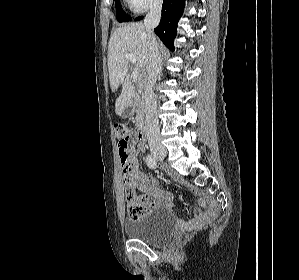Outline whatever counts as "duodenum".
Returning <instances> with one entry per match:
<instances>
[{
  "label": "duodenum",
  "instance_id": "duodenum-1",
  "mask_svg": "<svg viewBox=\"0 0 299 280\" xmlns=\"http://www.w3.org/2000/svg\"><path fill=\"white\" fill-rule=\"evenodd\" d=\"M148 136L147 127L145 124H141L138 128V137L140 140H146Z\"/></svg>",
  "mask_w": 299,
  "mask_h": 280
}]
</instances>
